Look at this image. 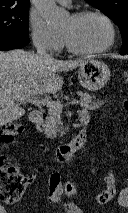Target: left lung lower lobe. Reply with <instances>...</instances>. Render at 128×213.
Masks as SVG:
<instances>
[{
	"mask_svg": "<svg viewBox=\"0 0 128 213\" xmlns=\"http://www.w3.org/2000/svg\"><path fill=\"white\" fill-rule=\"evenodd\" d=\"M128 54V51H121V55Z\"/></svg>",
	"mask_w": 128,
	"mask_h": 213,
	"instance_id": "obj_1",
	"label": "left lung lower lobe"
}]
</instances>
